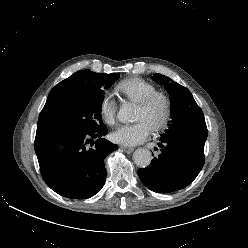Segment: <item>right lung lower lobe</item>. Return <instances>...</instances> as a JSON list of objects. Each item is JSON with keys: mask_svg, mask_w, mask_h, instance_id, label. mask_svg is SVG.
Segmentation results:
<instances>
[{"mask_svg": "<svg viewBox=\"0 0 248 248\" xmlns=\"http://www.w3.org/2000/svg\"><path fill=\"white\" fill-rule=\"evenodd\" d=\"M106 126L97 131L37 128L35 152L45 183L71 199L94 196L106 179L104 159L118 149L103 138Z\"/></svg>", "mask_w": 248, "mask_h": 248, "instance_id": "98d812e1", "label": "right lung lower lobe"}]
</instances>
